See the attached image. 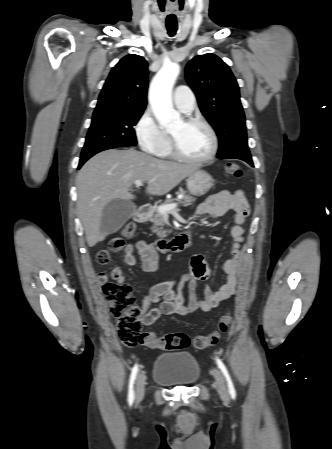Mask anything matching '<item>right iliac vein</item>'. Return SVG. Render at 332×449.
<instances>
[{
  "label": "right iliac vein",
  "instance_id": "obj_1",
  "mask_svg": "<svg viewBox=\"0 0 332 449\" xmlns=\"http://www.w3.org/2000/svg\"><path fill=\"white\" fill-rule=\"evenodd\" d=\"M145 374L141 372L138 375L137 382H136V401L140 402L142 401L144 394H145Z\"/></svg>",
  "mask_w": 332,
  "mask_h": 449
}]
</instances>
